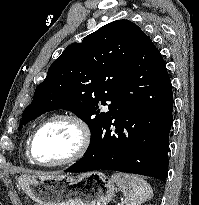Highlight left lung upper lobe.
<instances>
[{"label": "left lung upper lobe", "instance_id": "obj_1", "mask_svg": "<svg viewBox=\"0 0 199 205\" xmlns=\"http://www.w3.org/2000/svg\"><path fill=\"white\" fill-rule=\"evenodd\" d=\"M144 35L133 22L116 20L69 45L36 87L19 129L47 111L66 109L89 126L91 146L110 119L101 108L116 99Z\"/></svg>", "mask_w": 199, "mask_h": 205}]
</instances>
